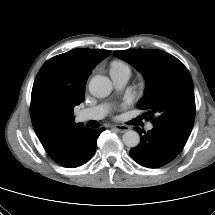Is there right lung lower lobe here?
Here are the masks:
<instances>
[{
    "mask_svg": "<svg viewBox=\"0 0 215 215\" xmlns=\"http://www.w3.org/2000/svg\"><path fill=\"white\" fill-rule=\"evenodd\" d=\"M102 131H104L102 128H84L80 130L74 135L66 155L56 162L68 168H75L83 163H87L96 151L97 138Z\"/></svg>",
    "mask_w": 215,
    "mask_h": 215,
    "instance_id": "1",
    "label": "right lung lower lobe"
}]
</instances>
